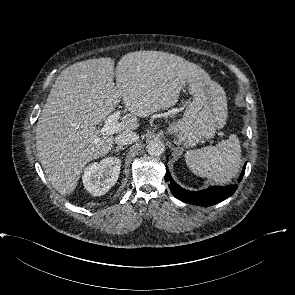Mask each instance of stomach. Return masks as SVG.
<instances>
[{
    "instance_id": "stomach-1",
    "label": "stomach",
    "mask_w": 295,
    "mask_h": 295,
    "mask_svg": "<svg viewBox=\"0 0 295 295\" xmlns=\"http://www.w3.org/2000/svg\"><path fill=\"white\" fill-rule=\"evenodd\" d=\"M192 101L184 116L169 125L167 132L174 135V141L185 148L210 139L217 129L225 124L227 100L223 88L209 79L188 84Z\"/></svg>"
}]
</instances>
